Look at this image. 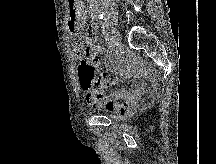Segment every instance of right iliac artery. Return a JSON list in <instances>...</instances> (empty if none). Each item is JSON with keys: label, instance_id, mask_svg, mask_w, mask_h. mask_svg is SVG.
Here are the masks:
<instances>
[{"label": "right iliac artery", "instance_id": "82829eb1", "mask_svg": "<svg viewBox=\"0 0 216 164\" xmlns=\"http://www.w3.org/2000/svg\"><path fill=\"white\" fill-rule=\"evenodd\" d=\"M106 44H107V47L112 50L113 47H114V44H113V41L111 40L110 37H106Z\"/></svg>", "mask_w": 216, "mask_h": 164}]
</instances>
